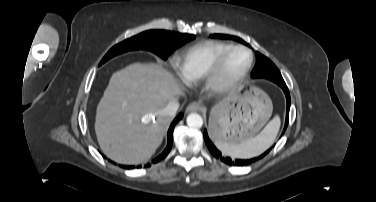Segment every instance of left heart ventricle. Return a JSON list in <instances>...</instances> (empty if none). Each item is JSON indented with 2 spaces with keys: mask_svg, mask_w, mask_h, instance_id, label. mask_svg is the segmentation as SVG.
<instances>
[{
  "mask_svg": "<svg viewBox=\"0 0 376 202\" xmlns=\"http://www.w3.org/2000/svg\"><path fill=\"white\" fill-rule=\"evenodd\" d=\"M249 61V55L245 51H235L227 59L224 69L223 76L225 79H231L237 76L247 65Z\"/></svg>",
  "mask_w": 376,
  "mask_h": 202,
  "instance_id": "b2bd125f",
  "label": "left heart ventricle"
}]
</instances>
